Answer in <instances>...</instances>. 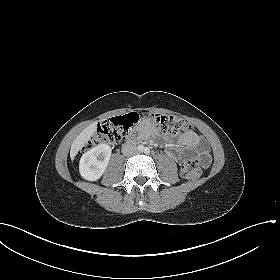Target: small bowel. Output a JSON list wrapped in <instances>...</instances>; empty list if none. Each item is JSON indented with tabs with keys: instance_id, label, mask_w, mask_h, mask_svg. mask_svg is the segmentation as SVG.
Listing matches in <instances>:
<instances>
[{
	"instance_id": "1",
	"label": "small bowel",
	"mask_w": 280,
	"mask_h": 280,
	"mask_svg": "<svg viewBox=\"0 0 280 280\" xmlns=\"http://www.w3.org/2000/svg\"><path fill=\"white\" fill-rule=\"evenodd\" d=\"M149 134L150 128L148 126V123L146 121H143L137 135L135 136V139H145L149 136ZM179 144L186 149L195 150L204 161V165H208L210 160L208 146L204 139L200 137L196 132L189 131L182 134L179 137ZM180 158L181 157H179V159Z\"/></svg>"
}]
</instances>
